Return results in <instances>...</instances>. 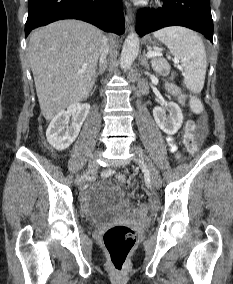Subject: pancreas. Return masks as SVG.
I'll use <instances>...</instances> for the list:
<instances>
[{
  "label": "pancreas",
  "mask_w": 233,
  "mask_h": 284,
  "mask_svg": "<svg viewBox=\"0 0 233 284\" xmlns=\"http://www.w3.org/2000/svg\"><path fill=\"white\" fill-rule=\"evenodd\" d=\"M167 65H168L167 62L164 59H157V58L152 59V66L154 70L157 72L161 73L163 69L167 68Z\"/></svg>",
  "instance_id": "cf45deb5"
}]
</instances>
